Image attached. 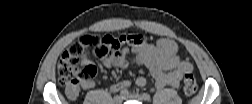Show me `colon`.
Returning <instances> with one entry per match:
<instances>
[{
  "instance_id": "5ec220e1",
  "label": "colon",
  "mask_w": 252,
  "mask_h": 104,
  "mask_svg": "<svg viewBox=\"0 0 252 104\" xmlns=\"http://www.w3.org/2000/svg\"><path fill=\"white\" fill-rule=\"evenodd\" d=\"M144 41V35L138 32L118 37L102 34H87L81 37L62 53L58 62L59 82L65 88L66 95L76 98L81 83L95 76V67L86 64L83 61L84 57L93 55L98 59H106L123 45L140 46ZM183 90L188 97L197 93L198 82L193 74H184Z\"/></svg>"
}]
</instances>
